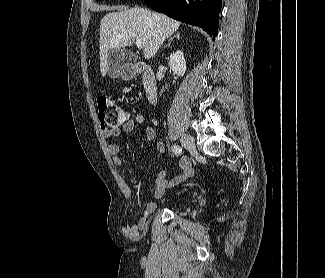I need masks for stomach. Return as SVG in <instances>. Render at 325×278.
<instances>
[{"label": "stomach", "mask_w": 325, "mask_h": 278, "mask_svg": "<svg viewBox=\"0 0 325 278\" xmlns=\"http://www.w3.org/2000/svg\"><path fill=\"white\" fill-rule=\"evenodd\" d=\"M133 77V71H127V72H123V78L126 80H129Z\"/></svg>", "instance_id": "obj_1"}]
</instances>
